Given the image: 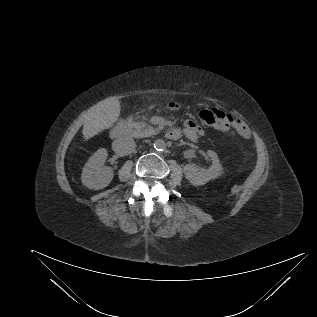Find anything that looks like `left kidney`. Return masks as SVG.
Segmentation results:
<instances>
[{"mask_svg":"<svg viewBox=\"0 0 317 317\" xmlns=\"http://www.w3.org/2000/svg\"><path fill=\"white\" fill-rule=\"evenodd\" d=\"M207 154L212 160V165L208 169L198 170L193 164H186L183 167L186 179L193 185H204L209 180L217 178L222 172V165L216 152L208 150Z\"/></svg>","mask_w":317,"mask_h":317,"instance_id":"obj_1","label":"left kidney"}]
</instances>
